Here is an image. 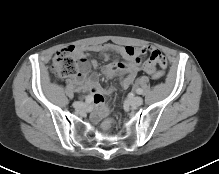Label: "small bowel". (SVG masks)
<instances>
[{
	"mask_svg": "<svg viewBox=\"0 0 219 174\" xmlns=\"http://www.w3.org/2000/svg\"><path fill=\"white\" fill-rule=\"evenodd\" d=\"M92 49L98 52L105 60L110 59L111 55H113L112 62L106 65L102 69V72L108 78H112L116 75L124 76L121 81V86L123 88H128L136 78L141 69L142 55L149 53V62L143 65V69L150 75L153 69L166 68L167 66L165 54L153 47L104 44L95 46ZM74 52L79 57L80 67L78 74L71 78V83L74 84L79 91L90 93V97L93 101L92 118L94 121H98L108 112L104 95L109 94L112 91H117L119 89V84L117 82H112L110 87L102 88L98 84L97 74L89 75L90 68H97L98 63L95 60L89 61L84 49L78 48L75 49ZM117 56H121L124 59V62H119L116 58Z\"/></svg>",
	"mask_w": 219,
	"mask_h": 174,
	"instance_id": "1",
	"label": "small bowel"
}]
</instances>
